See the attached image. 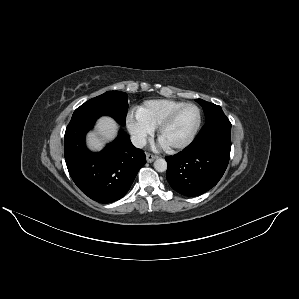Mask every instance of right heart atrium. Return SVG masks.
<instances>
[{
	"instance_id": "right-heart-atrium-1",
	"label": "right heart atrium",
	"mask_w": 299,
	"mask_h": 299,
	"mask_svg": "<svg viewBox=\"0 0 299 299\" xmlns=\"http://www.w3.org/2000/svg\"><path fill=\"white\" fill-rule=\"evenodd\" d=\"M126 125L137 146H143L154 131V129L146 124L138 114L132 112L127 115Z\"/></svg>"
}]
</instances>
